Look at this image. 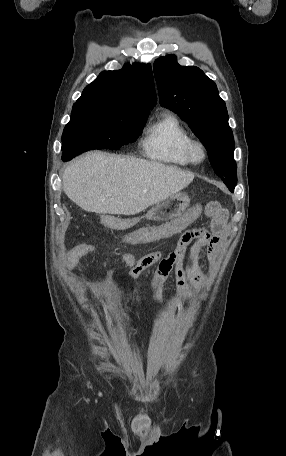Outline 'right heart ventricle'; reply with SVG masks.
I'll list each match as a JSON object with an SVG mask.
<instances>
[{
	"instance_id": "right-heart-ventricle-1",
	"label": "right heart ventricle",
	"mask_w": 286,
	"mask_h": 456,
	"mask_svg": "<svg viewBox=\"0 0 286 456\" xmlns=\"http://www.w3.org/2000/svg\"><path fill=\"white\" fill-rule=\"evenodd\" d=\"M191 139L189 131L178 117L165 113L146 130L142 148L151 160L186 166L190 164L186 148Z\"/></svg>"
}]
</instances>
